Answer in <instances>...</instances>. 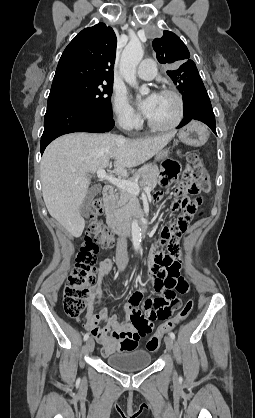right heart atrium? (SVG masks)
<instances>
[{
  "instance_id": "d8ad5b80",
  "label": "right heart atrium",
  "mask_w": 255,
  "mask_h": 418,
  "mask_svg": "<svg viewBox=\"0 0 255 418\" xmlns=\"http://www.w3.org/2000/svg\"><path fill=\"white\" fill-rule=\"evenodd\" d=\"M113 114L117 123L125 128L132 129L139 123V117L123 92H116L112 103Z\"/></svg>"
}]
</instances>
